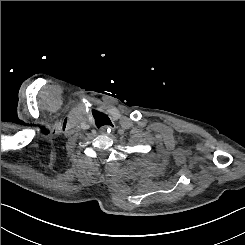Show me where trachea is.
Wrapping results in <instances>:
<instances>
[{
    "label": "trachea",
    "mask_w": 245,
    "mask_h": 245,
    "mask_svg": "<svg viewBox=\"0 0 245 245\" xmlns=\"http://www.w3.org/2000/svg\"><path fill=\"white\" fill-rule=\"evenodd\" d=\"M94 117H95V123H96V126L98 128L102 127V126H112V122L111 120L109 119V117L103 113H100V112H96L94 114Z\"/></svg>",
    "instance_id": "3493384b"
}]
</instances>
